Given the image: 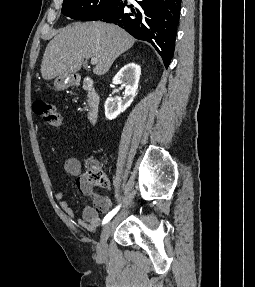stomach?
<instances>
[{
	"mask_svg": "<svg viewBox=\"0 0 255 287\" xmlns=\"http://www.w3.org/2000/svg\"><path fill=\"white\" fill-rule=\"evenodd\" d=\"M69 86H73V78L70 74H65V76H59L54 82L55 90H66Z\"/></svg>",
	"mask_w": 255,
	"mask_h": 287,
	"instance_id": "stomach-1",
	"label": "stomach"
}]
</instances>
